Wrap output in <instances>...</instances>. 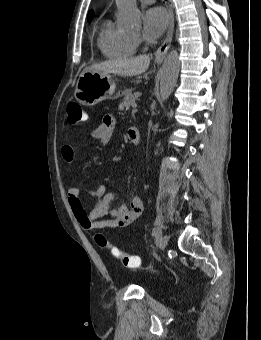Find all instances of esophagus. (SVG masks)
<instances>
[{"label": "esophagus", "instance_id": "1", "mask_svg": "<svg viewBox=\"0 0 261 340\" xmlns=\"http://www.w3.org/2000/svg\"><path fill=\"white\" fill-rule=\"evenodd\" d=\"M165 5L168 9L169 15H170V23H169V28L167 31V35L163 43L160 45V47L156 50L155 52V60L156 61H162L163 58L165 57L171 42L173 38V32H174V13L173 9L170 3V0H165Z\"/></svg>", "mask_w": 261, "mask_h": 340}]
</instances>
